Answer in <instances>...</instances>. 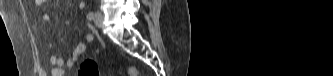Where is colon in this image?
I'll return each mask as SVG.
<instances>
[{
    "label": "colon",
    "mask_w": 333,
    "mask_h": 76,
    "mask_svg": "<svg viewBox=\"0 0 333 76\" xmlns=\"http://www.w3.org/2000/svg\"><path fill=\"white\" fill-rule=\"evenodd\" d=\"M79 76H100V71L93 59L87 58L83 60L78 69ZM130 76H138V70L134 67L129 69Z\"/></svg>",
    "instance_id": "colon-1"
}]
</instances>
